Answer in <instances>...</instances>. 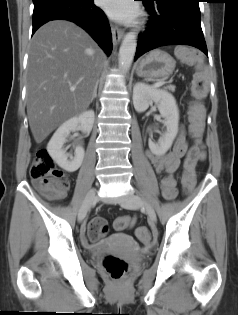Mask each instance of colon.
Returning a JSON list of instances; mask_svg holds the SVG:
<instances>
[{
  "mask_svg": "<svg viewBox=\"0 0 238 315\" xmlns=\"http://www.w3.org/2000/svg\"><path fill=\"white\" fill-rule=\"evenodd\" d=\"M177 56L190 64H197L199 54L188 48H179ZM207 91V82L205 79V71L199 68L194 85H193V101L189 109V129L193 138L198 140L204 129L205 112L201 103V99ZM30 176L36 187L51 198L63 196L69 188V180L66 174L58 169L46 149H39L35 153L33 163L30 167ZM182 185L186 191H189L194 180L183 177ZM114 226L117 230H124L129 226V219L119 217L116 219ZM108 225L103 218H94L88 226V234L92 239H98L107 233ZM138 237L147 241L150 239V233L146 227H141L137 230ZM103 266L112 279L120 280L125 277L129 268L128 265L115 256H107L103 260Z\"/></svg>",
  "mask_w": 238,
  "mask_h": 315,
  "instance_id": "obj_1",
  "label": "colon"
}]
</instances>
